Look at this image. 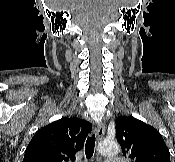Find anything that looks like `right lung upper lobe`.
<instances>
[{"label": "right lung upper lobe", "instance_id": "obj_1", "mask_svg": "<svg viewBox=\"0 0 175 162\" xmlns=\"http://www.w3.org/2000/svg\"><path fill=\"white\" fill-rule=\"evenodd\" d=\"M91 129L89 122L79 118L54 121L35 133L23 162H73Z\"/></svg>", "mask_w": 175, "mask_h": 162}]
</instances>
